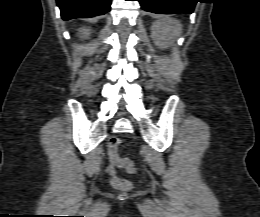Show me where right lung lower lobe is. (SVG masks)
Listing matches in <instances>:
<instances>
[{
    "label": "right lung lower lobe",
    "instance_id": "right-lung-lower-lobe-1",
    "mask_svg": "<svg viewBox=\"0 0 260 217\" xmlns=\"http://www.w3.org/2000/svg\"><path fill=\"white\" fill-rule=\"evenodd\" d=\"M64 20L90 18L110 11L111 0H56Z\"/></svg>",
    "mask_w": 260,
    "mask_h": 217
}]
</instances>
